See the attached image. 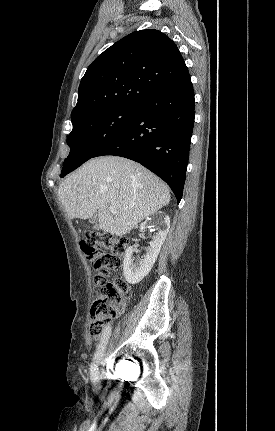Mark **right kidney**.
Returning a JSON list of instances; mask_svg holds the SVG:
<instances>
[{
  "label": "right kidney",
  "mask_w": 275,
  "mask_h": 431,
  "mask_svg": "<svg viewBox=\"0 0 275 431\" xmlns=\"http://www.w3.org/2000/svg\"><path fill=\"white\" fill-rule=\"evenodd\" d=\"M164 223L167 228L158 230V233H156V235L153 237V240L150 242V246L147 248L146 254L143 256L142 259L138 260L136 263L133 264V247L130 246L126 250L123 261V272L124 277L128 283H139L151 271L169 230V216H165ZM147 227V220L140 225V228L142 230Z\"/></svg>",
  "instance_id": "ca27d5eb"
}]
</instances>
